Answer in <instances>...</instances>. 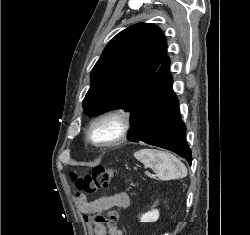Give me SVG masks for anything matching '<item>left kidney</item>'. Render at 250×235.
<instances>
[{"label":"left kidney","mask_w":250,"mask_h":235,"mask_svg":"<svg viewBox=\"0 0 250 235\" xmlns=\"http://www.w3.org/2000/svg\"><path fill=\"white\" fill-rule=\"evenodd\" d=\"M159 218V211L152 210L142 215L141 222H155Z\"/></svg>","instance_id":"1"}]
</instances>
